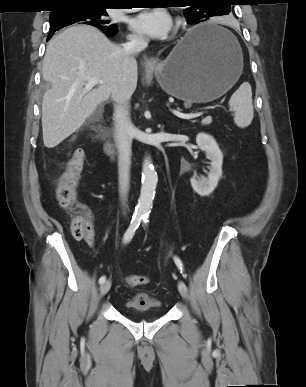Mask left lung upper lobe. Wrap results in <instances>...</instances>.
Segmentation results:
<instances>
[{
  "label": "left lung upper lobe",
  "instance_id": "1",
  "mask_svg": "<svg viewBox=\"0 0 306 387\" xmlns=\"http://www.w3.org/2000/svg\"><path fill=\"white\" fill-rule=\"evenodd\" d=\"M229 0H182L186 6L184 15L193 24L205 22L213 16H221L229 14Z\"/></svg>",
  "mask_w": 306,
  "mask_h": 387
}]
</instances>
